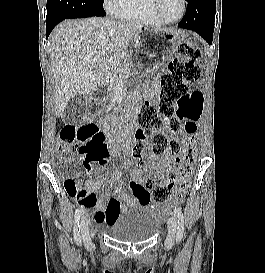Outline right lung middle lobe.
<instances>
[{
  "mask_svg": "<svg viewBox=\"0 0 265 273\" xmlns=\"http://www.w3.org/2000/svg\"><path fill=\"white\" fill-rule=\"evenodd\" d=\"M104 0H47V23H59L70 18L105 16Z\"/></svg>",
  "mask_w": 265,
  "mask_h": 273,
  "instance_id": "right-lung-middle-lobe-1",
  "label": "right lung middle lobe"
}]
</instances>
